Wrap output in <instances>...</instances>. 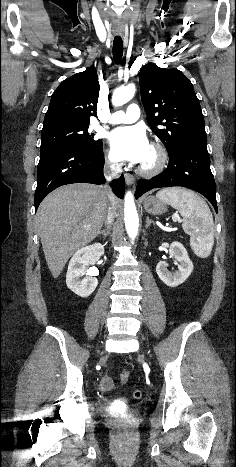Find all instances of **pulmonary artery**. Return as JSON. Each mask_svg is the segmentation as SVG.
Listing matches in <instances>:
<instances>
[{"instance_id": "pulmonary-artery-1", "label": "pulmonary artery", "mask_w": 236, "mask_h": 467, "mask_svg": "<svg viewBox=\"0 0 236 467\" xmlns=\"http://www.w3.org/2000/svg\"><path fill=\"white\" fill-rule=\"evenodd\" d=\"M140 116V108L137 104H130L126 111H116L110 117V123H132Z\"/></svg>"}]
</instances>
